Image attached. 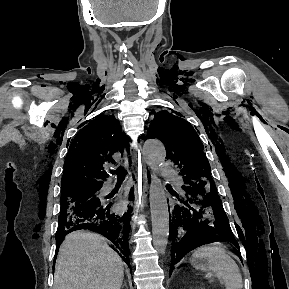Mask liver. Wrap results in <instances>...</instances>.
Wrapping results in <instances>:
<instances>
[{
  "mask_svg": "<svg viewBox=\"0 0 289 289\" xmlns=\"http://www.w3.org/2000/svg\"><path fill=\"white\" fill-rule=\"evenodd\" d=\"M124 266L104 237L88 231L68 234L60 246L53 289H120Z\"/></svg>",
  "mask_w": 289,
  "mask_h": 289,
  "instance_id": "obj_1",
  "label": "liver"
}]
</instances>
